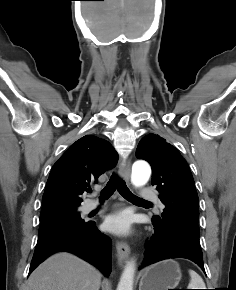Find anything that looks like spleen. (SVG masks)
Listing matches in <instances>:
<instances>
[{
	"label": "spleen",
	"mask_w": 236,
	"mask_h": 290,
	"mask_svg": "<svg viewBox=\"0 0 236 290\" xmlns=\"http://www.w3.org/2000/svg\"><path fill=\"white\" fill-rule=\"evenodd\" d=\"M189 275L191 277L188 289H206L205 283L202 277L193 270H189Z\"/></svg>",
	"instance_id": "1"
}]
</instances>
